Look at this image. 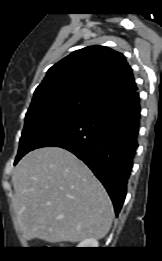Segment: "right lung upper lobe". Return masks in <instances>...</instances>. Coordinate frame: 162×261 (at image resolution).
I'll return each mask as SVG.
<instances>
[{
  "label": "right lung upper lobe",
  "mask_w": 162,
  "mask_h": 261,
  "mask_svg": "<svg viewBox=\"0 0 162 261\" xmlns=\"http://www.w3.org/2000/svg\"><path fill=\"white\" fill-rule=\"evenodd\" d=\"M137 90L133 72L123 54L105 46L74 51L53 65L34 92V99L70 92L99 102Z\"/></svg>",
  "instance_id": "1"
}]
</instances>
